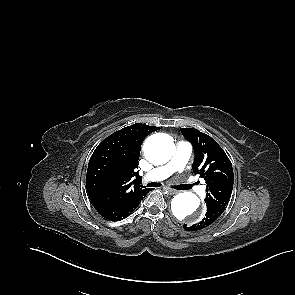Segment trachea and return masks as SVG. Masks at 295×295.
Listing matches in <instances>:
<instances>
[{
  "label": "trachea",
  "instance_id": "1",
  "mask_svg": "<svg viewBox=\"0 0 295 295\" xmlns=\"http://www.w3.org/2000/svg\"><path fill=\"white\" fill-rule=\"evenodd\" d=\"M159 186H160L159 183H157V182H152V183H148L146 187H159ZM183 188H184V189H189L190 186H184Z\"/></svg>",
  "mask_w": 295,
  "mask_h": 295
}]
</instances>
